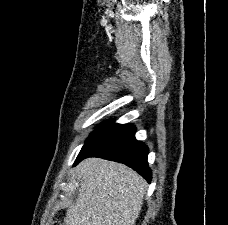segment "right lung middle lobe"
I'll return each instance as SVG.
<instances>
[{"label": "right lung middle lobe", "mask_w": 228, "mask_h": 225, "mask_svg": "<svg viewBox=\"0 0 228 225\" xmlns=\"http://www.w3.org/2000/svg\"><path fill=\"white\" fill-rule=\"evenodd\" d=\"M99 126H101V125H98V126L96 127V129H97Z\"/></svg>", "instance_id": "1"}]
</instances>
